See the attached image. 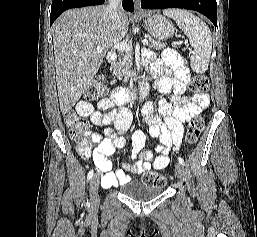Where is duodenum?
Wrapping results in <instances>:
<instances>
[{
    "instance_id": "duodenum-1",
    "label": "duodenum",
    "mask_w": 257,
    "mask_h": 237,
    "mask_svg": "<svg viewBox=\"0 0 257 237\" xmlns=\"http://www.w3.org/2000/svg\"><path fill=\"white\" fill-rule=\"evenodd\" d=\"M108 60L114 62L117 58L114 52L108 53ZM148 92V84L142 83L138 88L134 90H128L123 87H114L111 90V98L117 102H131L138 98L144 97Z\"/></svg>"
}]
</instances>
